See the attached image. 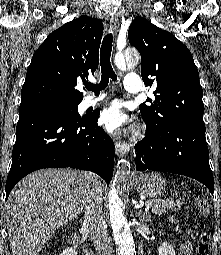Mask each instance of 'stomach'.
I'll return each instance as SVG.
<instances>
[{"mask_svg":"<svg viewBox=\"0 0 221 255\" xmlns=\"http://www.w3.org/2000/svg\"><path fill=\"white\" fill-rule=\"evenodd\" d=\"M130 183L139 194L150 198L159 196L166 187L165 179L156 172L132 177Z\"/></svg>","mask_w":221,"mask_h":255,"instance_id":"obj_1","label":"stomach"}]
</instances>
